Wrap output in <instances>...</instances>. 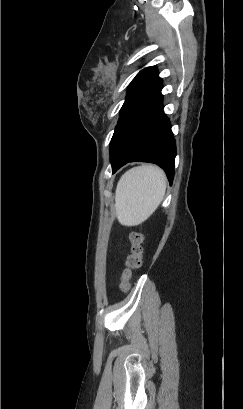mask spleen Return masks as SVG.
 Returning <instances> with one entry per match:
<instances>
[{
  "instance_id": "spleen-1",
  "label": "spleen",
  "mask_w": 243,
  "mask_h": 409,
  "mask_svg": "<svg viewBox=\"0 0 243 409\" xmlns=\"http://www.w3.org/2000/svg\"><path fill=\"white\" fill-rule=\"evenodd\" d=\"M166 176L154 165H142L125 172L117 183L115 210L122 225L141 224L162 202Z\"/></svg>"
}]
</instances>
